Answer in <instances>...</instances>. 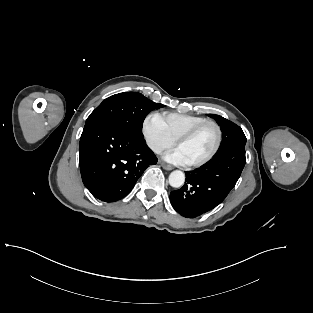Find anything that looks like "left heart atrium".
Returning a JSON list of instances; mask_svg holds the SVG:
<instances>
[{
  "mask_svg": "<svg viewBox=\"0 0 313 313\" xmlns=\"http://www.w3.org/2000/svg\"><path fill=\"white\" fill-rule=\"evenodd\" d=\"M163 158L166 161L177 165H188L190 163L184 152L178 147L166 152Z\"/></svg>",
  "mask_w": 313,
  "mask_h": 313,
  "instance_id": "left-heart-atrium-1",
  "label": "left heart atrium"
}]
</instances>
